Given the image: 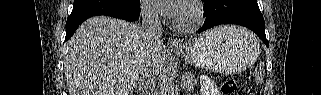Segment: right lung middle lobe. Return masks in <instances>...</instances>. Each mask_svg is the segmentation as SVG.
<instances>
[{"mask_svg":"<svg viewBox=\"0 0 321 95\" xmlns=\"http://www.w3.org/2000/svg\"><path fill=\"white\" fill-rule=\"evenodd\" d=\"M140 0H74L72 13L109 11L128 14L139 10Z\"/></svg>","mask_w":321,"mask_h":95,"instance_id":"right-lung-middle-lobe-1","label":"right lung middle lobe"}]
</instances>
